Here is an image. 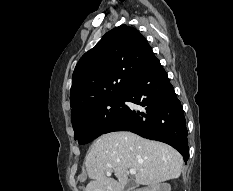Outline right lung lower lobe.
<instances>
[{
	"label": "right lung lower lobe",
	"mask_w": 233,
	"mask_h": 191,
	"mask_svg": "<svg viewBox=\"0 0 233 191\" xmlns=\"http://www.w3.org/2000/svg\"><path fill=\"white\" fill-rule=\"evenodd\" d=\"M127 101L144 107L142 111L126 112L104 133L130 131L144 138L167 143L188 160L186 121L173 86L159 60L150 58L143 73L129 88Z\"/></svg>",
	"instance_id": "1"
}]
</instances>
